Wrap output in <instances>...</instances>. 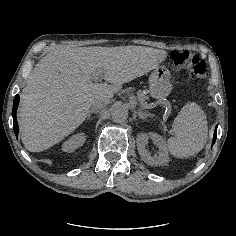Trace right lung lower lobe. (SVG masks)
I'll return each mask as SVG.
<instances>
[{
	"label": "right lung lower lobe",
	"mask_w": 236,
	"mask_h": 236,
	"mask_svg": "<svg viewBox=\"0 0 236 236\" xmlns=\"http://www.w3.org/2000/svg\"><path fill=\"white\" fill-rule=\"evenodd\" d=\"M19 104V95L15 96L14 103H13V109H12V116H13V124H14V133L16 136H18L19 127L16 119V112H17V106Z\"/></svg>",
	"instance_id": "right-lung-lower-lobe-1"
}]
</instances>
